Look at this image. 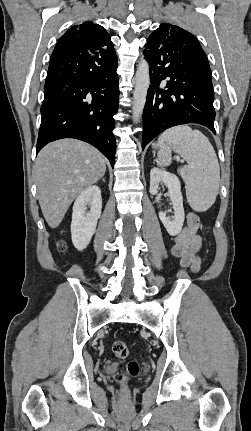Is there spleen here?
Listing matches in <instances>:
<instances>
[{"label": "spleen", "mask_w": 251, "mask_h": 431, "mask_svg": "<svg viewBox=\"0 0 251 431\" xmlns=\"http://www.w3.org/2000/svg\"><path fill=\"white\" fill-rule=\"evenodd\" d=\"M158 144V159L163 165L171 164V149L188 163L180 169L187 201L197 212L208 210L216 200L220 183L217 155L208 138L199 130L178 125L162 133Z\"/></svg>", "instance_id": "1"}]
</instances>
